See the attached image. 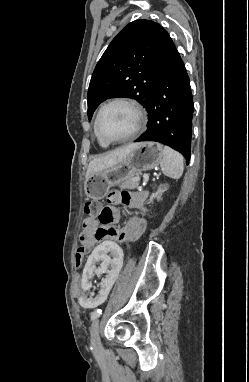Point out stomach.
Instances as JSON below:
<instances>
[{"label":"stomach","mask_w":249,"mask_h":382,"mask_svg":"<svg viewBox=\"0 0 249 382\" xmlns=\"http://www.w3.org/2000/svg\"><path fill=\"white\" fill-rule=\"evenodd\" d=\"M162 158L163 148L161 144L157 142L137 143L118 164L90 175L84 184L85 193L91 199L100 200L112 186L138 172L157 167Z\"/></svg>","instance_id":"stomach-1"}]
</instances>
